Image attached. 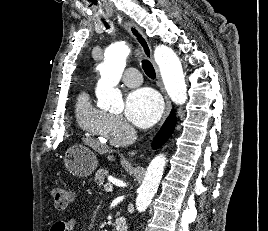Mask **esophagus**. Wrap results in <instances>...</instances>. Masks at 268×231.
Listing matches in <instances>:
<instances>
[{
    "mask_svg": "<svg viewBox=\"0 0 268 231\" xmlns=\"http://www.w3.org/2000/svg\"><path fill=\"white\" fill-rule=\"evenodd\" d=\"M123 27L129 32V34L136 40V42L138 43V45L140 46L143 54L145 55V57L150 60V62L152 63L154 70L156 72V77H157V85L159 86L162 94L164 95V99H165V111L163 114V117L160 121L159 126L157 127V130L160 129V127L163 125V123L165 122L166 118L169 116L171 108H172V104L171 101L165 91V88L163 86L162 83V79L160 76V72L158 69V66L156 65L154 58H153V54H152V49L151 46L149 44V42L147 41V38L145 37V35L143 34V32L141 31V29L132 21H124L122 23ZM153 136V134H151L150 138ZM147 144V141L144 142L142 145H140L139 147L131 150L128 152V156L129 157H133L135 156L143 147H145V145Z\"/></svg>",
    "mask_w": 268,
    "mask_h": 231,
    "instance_id": "34e87169",
    "label": "esophagus"
}]
</instances>
